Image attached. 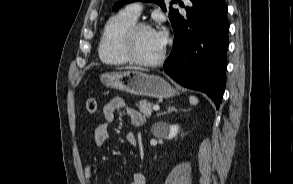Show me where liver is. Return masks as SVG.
Wrapping results in <instances>:
<instances>
[{
    "instance_id": "liver-1",
    "label": "liver",
    "mask_w": 293,
    "mask_h": 184,
    "mask_svg": "<svg viewBox=\"0 0 293 184\" xmlns=\"http://www.w3.org/2000/svg\"><path fill=\"white\" fill-rule=\"evenodd\" d=\"M125 69H129V70H141V68H138V67H126Z\"/></svg>"
}]
</instances>
